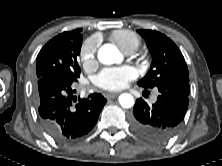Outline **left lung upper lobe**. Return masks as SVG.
<instances>
[{"label":"left lung upper lobe","mask_w":222,"mask_h":166,"mask_svg":"<svg viewBox=\"0 0 222 166\" xmlns=\"http://www.w3.org/2000/svg\"><path fill=\"white\" fill-rule=\"evenodd\" d=\"M137 32L146 40L153 55L150 70L138 85L148 89L157 87L166 80L189 81V73L184 57L177 45L164 34L140 29Z\"/></svg>","instance_id":"1"}]
</instances>
